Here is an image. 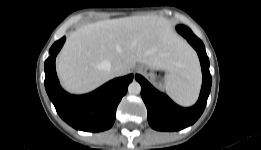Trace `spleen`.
I'll use <instances>...</instances> for the list:
<instances>
[{
  "mask_svg": "<svg viewBox=\"0 0 261 150\" xmlns=\"http://www.w3.org/2000/svg\"><path fill=\"white\" fill-rule=\"evenodd\" d=\"M201 84L197 62L185 67L180 74L170 75L166 90L173 100L183 106H190L197 100Z\"/></svg>",
  "mask_w": 261,
  "mask_h": 150,
  "instance_id": "3e777b00",
  "label": "spleen"
}]
</instances>
